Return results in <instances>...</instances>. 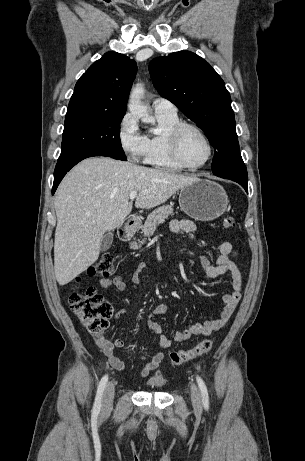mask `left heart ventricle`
Segmentation results:
<instances>
[{
  "mask_svg": "<svg viewBox=\"0 0 305 461\" xmlns=\"http://www.w3.org/2000/svg\"><path fill=\"white\" fill-rule=\"evenodd\" d=\"M180 153L187 164L196 166L205 160L208 150L203 139L195 131L186 130L181 137Z\"/></svg>",
  "mask_w": 305,
  "mask_h": 461,
  "instance_id": "obj_1",
  "label": "left heart ventricle"
}]
</instances>
